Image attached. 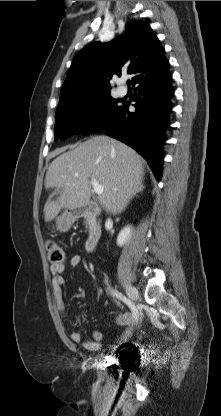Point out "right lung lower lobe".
<instances>
[{"instance_id":"1","label":"right lung lower lobe","mask_w":221,"mask_h":416,"mask_svg":"<svg viewBox=\"0 0 221 416\" xmlns=\"http://www.w3.org/2000/svg\"><path fill=\"white\" fill-rule=\"evenodd\" d=\"M171 79L168 69L141 79L135 84V91H138L134 99L135 112L129 111L127 101H121L117 111L101 129L141 154L157 180L161 179L162 150L166 140L164 130L169 126L168 116L172 109L170 98L174 91L170 86Z\"/></svg>"}]
</instances>
